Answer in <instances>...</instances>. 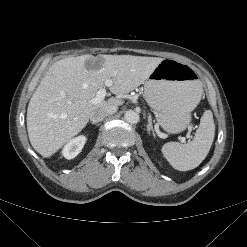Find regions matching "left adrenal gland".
Returning <instances> with one entry per match:
<instances>
[{
	"label": "left adrenal gland",
	"mask_w": 247,
	"mask_h": 247,
	"mask_svg": "<svg viewBox=\"0 0 247 247\" xmlns=\"http://www.w3.org/2000/svg\"><path fill=\"white\" fill-rule=\"evenodd\" d=\"M147 131H148L149 134L152 131V135L155 137V133H154L153 126H152V118H151L150 114L148 116Z\"/></svg>",
	"instance_id": "left-adrenal-gland-1"
}]
</instances>
